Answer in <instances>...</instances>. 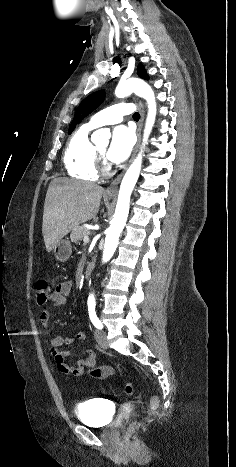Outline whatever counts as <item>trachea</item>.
Masks as SVG:
<instances>
[{
    "label": "trachea",
    "instance_id": "trachea-1",
    "mask_svg": "<svg viewBox=\"0 0 236 467\" xmlns=\"http://www.w3.org/2000/svg\"><path fill=\"white\" fill-rule=\"evenodd\" d=\"M139 118H140L139 113H138V112H135V113L133 114V119L136 120V121H138Z\"/></svg>",
    "mask_w": 236,
    "mask_h": 467
}]
</instances>
